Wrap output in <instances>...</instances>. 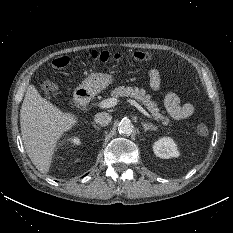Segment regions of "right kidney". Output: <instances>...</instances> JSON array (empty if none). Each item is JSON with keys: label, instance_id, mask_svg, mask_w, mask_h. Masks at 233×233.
<instances>
[{"label": "right kidney", "instance_id": "right-kidney-1", "mask_svg": "<svg viewBox=\"0 0 233 233\" xmlns=\"http://www.w3.org/2000/svg\"><path fill=\"white\" fill-rule=\"evenodd\" d=\"M70 142L73 144V145H80L81 144V141L78 137H74V138H71L70 139Z\"/></svg>", "mask_w": 233, "mask_h": 233}]
</instances>
